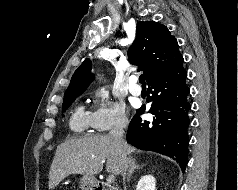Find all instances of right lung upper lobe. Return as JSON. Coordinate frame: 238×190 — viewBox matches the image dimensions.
<instances>
[{
    "mask_svg": "<svg viewBox=\"0 0 238 190\" xmlns=\"http://www.w3.org/2000/svg\"><path fill=\"white\" fill-rule=\"evenodd\" d=\"M130 63L142 70L147 83L175 66L183 57L178 43L164 25L155 22H138L136 38L128 50ZM91 61L85 59L74 72L65 96L82 94L92 78ZM64 96V97H65Z\"/></svg>",
    "mask_w": 238,
    "mask_h": 190,
    "instance_id": "obj_1",
    "label": "right lung upper lobe"
}]
</instances>
